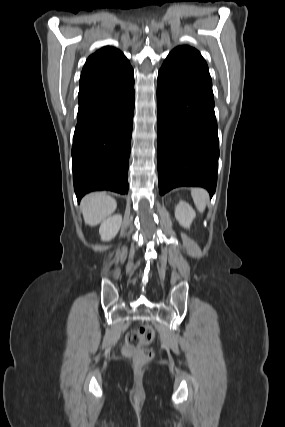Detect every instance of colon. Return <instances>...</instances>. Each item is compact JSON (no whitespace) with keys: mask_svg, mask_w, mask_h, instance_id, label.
Instances as JSON below:
<instances>
[{"mask_svg":"<svg viewBox=\"0 0 285 427\" xmlns=\"http://www.w3.org/2000/svg\"><path fill=\"white\" fill-rule=\"evenodd\" d=\"M154 337V330L148 325L132 330L126 335L124 349L131 354L137 365L144 364L153 358L154 352L150 345Z\"/></svg>","mask_w":285,"mask_h":427,"instance_id":"obj_1","label":"colon"}]
</instances>
